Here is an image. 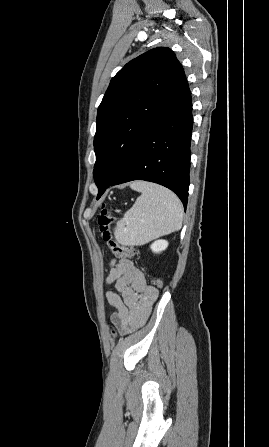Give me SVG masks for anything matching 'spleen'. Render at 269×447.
<instances>
[{
    "mask_svg": "<svg viewBox=\"0 0 269 447\" xmlns=\"http://www.w3.org/2000/svg\"><path fill=\"white\" fill-rule=\"evenodd\" d=\"M131 190L141 192L133 208L114 227V235L122 245H143L151 239L178 231L183 222L182 204L170 190L136 180Z\"/></svg>",
    "mask_w": 269,
    "mask_h": 447,
    "instance_id": "3e777b00",
    "label": "spleen"
}]
</instances>
